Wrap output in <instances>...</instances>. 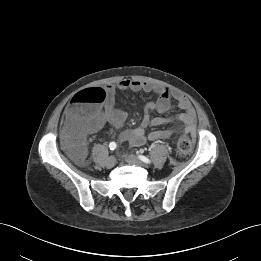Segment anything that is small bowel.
<instances>
[{
  "label": "small bowel",
  "mask_w": 261,
  "mask_h": 261,
  "mask_svg": "<svg viewBox=\"0 0 261 261\" xmlns=\"http://www.w3.org/2000/svg\"><path fill=\"white\" fill-rule=\"evenodd\" d=\"M134 91L155 93L158 99L154 102H148L145 106V114L139 127L132 130H125L119 134V138L127 141L133 146H142L146 140L157 141L169 138L176 132L196 134L195 115L189 100L176 90L168 87L155 85L150 82L140 80L123 79L106 88V99L101 108L97 109L88 121V132H96L104 125L110 124L116 129L122 127L126 114L115 105V93L119 91ZM176 106L182 110L174 118L153 117V112L166 114ZM173 120L180 122V126L175 129H162L151 131L146 136V130L149 127L163 126L171 123Z\"/></svg>",
  "instance_id": "1"
}]
</instances>
